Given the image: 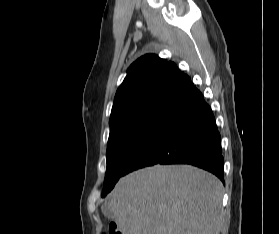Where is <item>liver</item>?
Masks as SVG:
<instances>
[{"label": "liver", "instance_id": "liver-1", "mask_svg": "<svg viewBox=\"0 0 279 234\" xmlns=\"http://www.w3.org/2000/svg\"><path fill=\"white\" fill-rule=\"evenodd\" d=\"M223 185L190 165H156L121 178L106 203L122 234H219Z\"/></svg>", "mask_w": 279, "mask_h": 234}]
</instances>
